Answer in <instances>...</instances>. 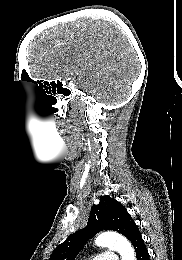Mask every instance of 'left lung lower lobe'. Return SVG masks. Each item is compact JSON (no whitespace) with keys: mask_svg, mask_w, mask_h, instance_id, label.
<instances>
[{"mask_svg":"<svg viewBox=\"0 0 182 260\" xmlns=\"http://www.w3.org/2000/svg\"><path fill=\"white\" fill-rule=\"evenodd\" d=\"M127 238L134 246L137 260H149L148 250L146 249L145 243L142 239L138 226L132 229Z\"/></svg>","mask_w":182,"mask_h":260,"instance_id":"left-lung-lower-lobe-1","label":"left lung lower lobe"}]
</instances>
